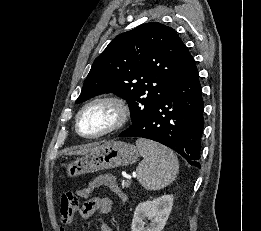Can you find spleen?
Returning a JSON list of instances; mask_svg holds the SVG:
<instances>
[{
	"mask_svg": "<svg viewBox=\"0 0 261 231\" xmlns=\"http://www.w3.org/2000/svg\"><path fill=\"white\" fill-rule=\"evenodd\" d=\"M136 146L143 161L136 169L140 184L147 190H160L175 180L179 163L174 152L157 142L137 139Z\"/></svg>",
	"mask_w": 261,
	"mask_h": 231,
	"instance_id": "1",
	"label": "spleen"
}]
</instances>
